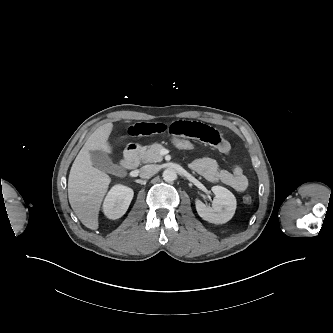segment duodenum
I'll list each match as a JSON object with an SVG mask.
<instances>
[{"instance_id": "1", "label": "duodenum", "mask_w": 333, "mask_h": 333, "mask_svg": "<svg viewBox=\"0 0 333 333\" xmlns=\"http://www.w3.org/2000/svg\"><path fill=\"white\" fill-rule=\"evenodd\" d=\"M139 164L138 145L131 144L125 150L124 157L121 161L123 168L127 170L135 169Z\"/></svg>"}]
</instances>
